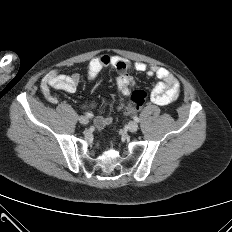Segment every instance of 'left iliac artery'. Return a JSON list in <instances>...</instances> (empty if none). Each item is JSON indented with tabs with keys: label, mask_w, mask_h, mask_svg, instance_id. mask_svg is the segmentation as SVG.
Here are the masks:
<instances>
[{
	"label": "left iliac artery",
	"mask_w": 232,
	"mask_h": 232,
	"mask_svg": "<svg viewBox=\"0 0 232 232\" xmlns=\"http://www.w3.org/2000/svg\"><path fill=\"white\" fill-rule=\"evenodd\" d=\"M134 121L139 122V118L137 116H135Z\"/></svg>",
	"instance_id": "44dca946"
}]
</instances>
